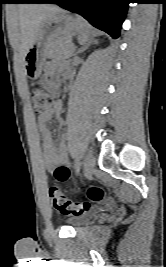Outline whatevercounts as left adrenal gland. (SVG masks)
<instances>
[{"instance_id":"left-adrenal-gland-1","label":"left adrenal gland","mask_w":166,"mask_h":267,"mask_svg":"<svg viewBox=\"0 0 166 267\" xmlns=\"http://www.w3.org/2000/svg\"><path fill=\"white\" fill-rule=\"evenodd\" d=\"M89 44L85 45L84 47L80 48L76 53H81L83 51H85L88 48Z\"/></svg>"}]
</instances>
